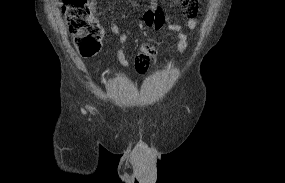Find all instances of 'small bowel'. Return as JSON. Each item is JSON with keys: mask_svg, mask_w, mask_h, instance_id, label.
<instances>
[{"mask_svg": "<svg viewBox=\"0 0 285 183\" xmlns=\"http://www.w3.org/2000/svg\"><path fill=\"white\" fill-rule=\"evenodd\" d=\"M186 6L185 13V26L188 30L193 31L197 27V8L195 2L192 0H184ZM90 8L92 12H95V2L90 0ZM144 22L147 27L159 30L164 25V15L160 11L157 3L145 13ZM168 30L174 32L177 38V50L183 53L188 46V35L181 24L170 23L167 26ZM111 30L115 35H118L121 47L117 51V58L123 66H129V61L123 50L124 45L128 41V35L120 31L119 26L116 23L111 24ZM157 50L154 45L150 43H142L140 45L139 54L136 57L135 65L138 63H145L147 66L156 59Z\"/></svg>", "mask_w": 285, "mask_h": 183, "instance_id": "obj_1", "label": "small bowel"}]
</instances>
